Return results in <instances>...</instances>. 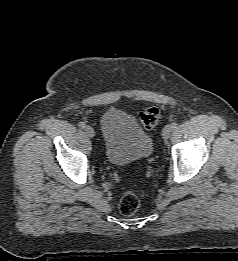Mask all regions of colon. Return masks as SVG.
Instances as JSON below:
<instances>
[{
  "label": "colon",
  "instance_id": "obj_1",
  "mask_svg": "<svg viewBox=\"0 0 238 261\" xmlns=\"http://www.w3.org/2000/svg\"><path fill=\"white\" fill-rule=\"evenodd\" d=\"M141 123L147 129L154 128L160 118V112L156 107H146L140 114ZM144 199V193L137 190L127 191L121 198L119 209L123 215H133L141 206Z\"/></svg>",
  "mask_w": 238,
  "mask_h": 261
}]
</instances>
